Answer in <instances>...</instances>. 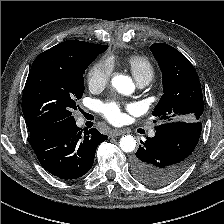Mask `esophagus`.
Returning a JSON list of instances; mask_svg holds the SVG:
<instances>
[{
	"label": "esophagus",
	"instance_id": "1",
	"mask_svg": "<svg viewBox=\"0 0 224 224\" xmlns=\"http://www.w3.org/2000/svg\"><path fill=\"white\" fill-rule=\"evenodd\" d=\"M124 132L123 131H120V130H113L110 132V137H117V136H120L122 135Z\"/></svg>",
	"mask_w": 224,
	"mask_h": 224
}]
</instances>
